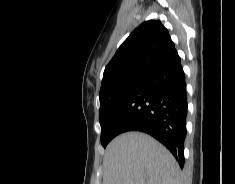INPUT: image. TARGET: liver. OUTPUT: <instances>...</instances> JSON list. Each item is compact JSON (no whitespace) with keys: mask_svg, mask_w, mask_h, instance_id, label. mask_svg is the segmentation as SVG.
<instances>
[{"mask_svg":"<svg viewBox=\"0 0 235 184\" xmlns=\"http://www.w3.org/2000/svg\"><path fill=\"white\" fill-rule=\"evenodd\" d=\"M103 184H180V168L157 140L127 132L108 144Z\"/></svg>","mask_w":235,"mask_h":184,"instance_id":"liver-1","label":"liver"}]
</instances>
